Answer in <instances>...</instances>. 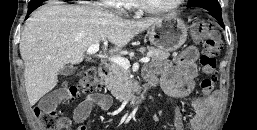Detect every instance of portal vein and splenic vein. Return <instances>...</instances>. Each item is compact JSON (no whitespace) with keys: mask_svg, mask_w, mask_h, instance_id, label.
<instances>
[{"mask_svg":"<svg viewBox=\"0 0 257 130\" xmlns=\"http://www.w3.org/2000/svg\"><path fill=\"white\" fill-rule=\"evenodd\" d=\"M98 51H99V44H93L87 49V54L94 55ZM109 60L113 63L120 65L124 69H128L130 67V62L124 57L115 56V57H110ZM149 61H150V56L140 59V62H142V63H147Z\"/></svg>","mask_w":257,"mask_h":130,"instance_id":"18ae733b","label":"portal vein and splenic vein"}]
</instances>
